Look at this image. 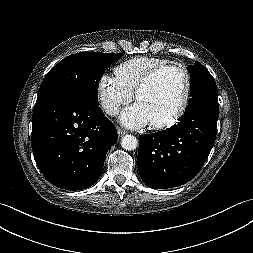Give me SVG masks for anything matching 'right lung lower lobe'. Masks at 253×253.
I'll list each match as a JSON object with an SVG mask.
<instances>
[{
	"instance_id": "98d812e1",
	"label": "right lung lower lobe",
	"mask_w": 253,
	"mask_h": 253,
	"mask_svg": "<svg viewBox=\"0 0 253 253\" xmlns=\"http://www.w3.org/2000/svg\"><path fill=\"white\" fill-rule=\"evenodd\" d=\"M32 150L44 177L58 188L82 190L99 178L116 127L98 106L50 95L36 101Z\"/></svg>"
}]
</instances>
